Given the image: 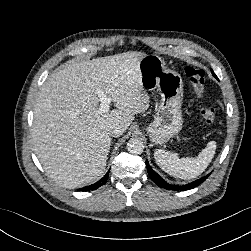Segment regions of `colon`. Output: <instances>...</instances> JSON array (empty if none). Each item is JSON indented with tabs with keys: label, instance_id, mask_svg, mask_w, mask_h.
Masks as SVG:
<instances>
[{
	"label": "colon",
	"instance_id": "colon-1",
	"mask_svg": "<svg viewBox=\"0 0 251 251\" xmlns=\"http://www.w3.org/2000/svg\"><path fill=\"white\" fill-rule=\"evenodd\" d=\"M185 74L199 100V113L201 118L206 123H213L216 120L217 113L216 110L207 103L205 72L202 69L188 66L185 68Z\"/></svg>",
	"mask_w": 251,
	"mask_h": 251
}]
</instances>
